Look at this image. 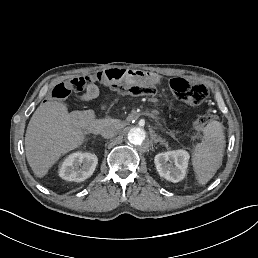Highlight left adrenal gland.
<instances>
[{"label":"left adrenal gland","mask_w":258,"mask_h":258,"mask_svg":"<svg viewBox=\"0 0 258 258\" xmlns=\"http://www.w3.org/2000/svg\"><path fill=\"white\" fill-rule=\"evenodd\" d=\"M152 135H153V141H154V143H158V142L165 143V141H164L162 138L155 136V135H156L155 132H152Z\"/></svg>","instance_id":"1"}]
</instances>
